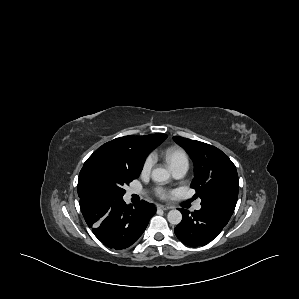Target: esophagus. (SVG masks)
<instances>
[{"label":"esophagus","instance_id":"obj_1","mask_svg":"<svg viewBox=\"0 0 299 299\" xmlns=\"http://www.w3.org/2000/svg\"><path fill=\"white\" fill-rule=\"evenodd\" d=\"M157 208L162 209V210H169V209H171L170 206H168V205H162V204L157 205Z\"/></svg>","mask_w":299,"mask_h":299}]
</instances>
